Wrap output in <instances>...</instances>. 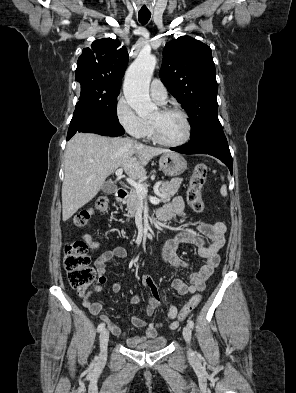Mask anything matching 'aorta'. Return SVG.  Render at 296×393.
Listing matches in <instances>:
<instances>
[{"label": "aorta", "mask_w": 296, "mask_h": 393, "mask_svg": "<svg viewBox=\"0 0 296 393\" xmlns=\"http://www.w3.org/2000/svg\"><path fill=\"white\" fill-rule=\"evenodd\" d=\"M155 66L156 58L153 55L140 53L125 75L124 96L140 117H146L157 111V106L152 103L149 96V85Z\"/></svg>", "instance_id": "obj_1"}]
</instances>
